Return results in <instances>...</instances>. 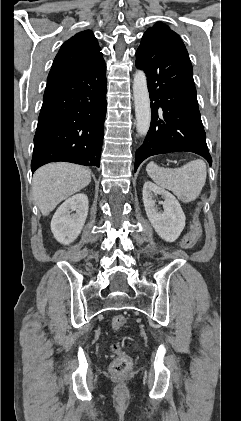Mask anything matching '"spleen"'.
<instances>
[{
  "mask_svg": "<svg viewBox=\"0 0 241 421\" xmlns=\"http://www.w3.org/2000/svg\"><path fill=\"white\" fill-rule=\"evenodd\" d=\"M146 171L157 185L170 190L184 203L198 198L207 176L206 164L200 159L174 169L161 168L156 163L150 162Z\"/></svg>",
  "mask_w": 241,
  "mask_h": 421,
  "instance_id": "spleen-1",
  "label": "spleen"
}]
</instances>
